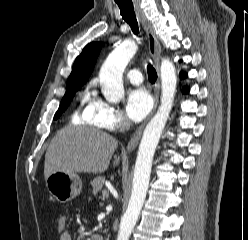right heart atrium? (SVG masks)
<instances>
[{
	"label": "right heart atrium",
	"instance_id": "right-heart-atrium-1",
	"mask_svg": "<svg viewBox=\"0 0 248 240\" xmlns=\"http://www.w3.org/2000/svg\"><path fill=\"white\" fill-rule=\"evenodd\" d=\"M89 121L91 125L108 131L128 126L124 113L101 99L95 100L89 114Z\"/></svg>",
	"mask_w": 248,
	"mask_h": 240
}]
</instances>
